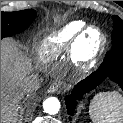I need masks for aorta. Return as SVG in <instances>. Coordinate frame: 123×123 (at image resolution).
Listing matches in <instances>:
<instances>
[{
  "mask_svg": "<svg viewBox=\"0 0 123 123\" xmlns=\"http://www.w3.org/2000/svg\"><path fill=\"white\" fill-rule=\"evenodd\" d=\"M43 109L47 114L55 115L60 110V101L56 97H49L43 102Z\"/></svg>",
  "mask_w": 123,
  "mask_h": 123,
  "instance_id": "1",
  "label": "aorta"
}]
</instances>
